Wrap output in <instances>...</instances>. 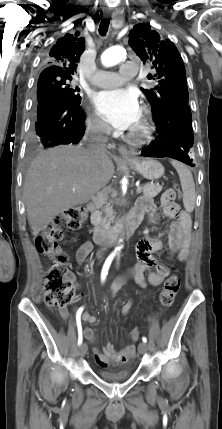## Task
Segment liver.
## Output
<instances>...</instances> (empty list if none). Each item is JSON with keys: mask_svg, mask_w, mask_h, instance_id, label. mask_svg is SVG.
Returning <instances> with one entry per match:
<instances>
[{"mask_svg": "<svg viewBox=\"0 0 222 429\" xmlns=\"http://www.w3.org/2000/svg\"><path fill=\"white\" fill-rule=\"evenodd\" d=\"M113 174L107 151L91 154L81 146L42 151L27 171L23 191L33 235L69 208L89 202Z\"/></svg>", "mask_w": 222, "mask_h": 429, "instance_id": "liver-1", "label": "liver"}]
</instances>
